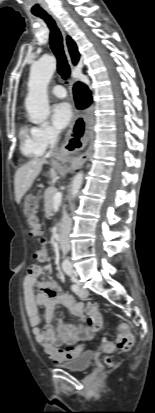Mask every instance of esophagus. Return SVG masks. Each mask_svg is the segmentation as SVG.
Segmentation results:
<instances>
[{"label":"esophagus","mask_w":155,"mask_h":413,"mask_svg":"<svg viewBox=\"0 0 155 413\" xmlns=\"http://www.w3.org/2000/svg\"><path fill=\"white\" fill-rule=\"evenodd\" d=\"M59 27H60V29L62 31V34H63V37H64V51H65L67 60H68L69 64L71 65V57H70V54H69V51H68V48H67V45H66L65 33H64V30H63V28L60 24H59ZM75 82H76V80H73V83H75ZM79 116H80V113L77 112L76 113V120L78 119ZM69 135H70V133H69ZM70 143H71V141L69 142V144H68V142H66L61 148L64 156H66L67 153L71 152V150L76 148V147H74L73 149H70V147H69ZM91 152H92V146L89 145L88 149L83 154H81L79 156H76L72 159L70 168L71 169H76V168L80 167L81 165H83L86 162V160L88 159V157L90 156Z\"/></svg>","instance_id":"34e87169"}]
</instances>
